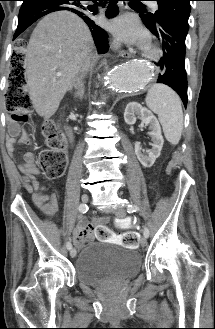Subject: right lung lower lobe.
Returning a JSON list of instances; mask_svg holds the SVG:
<instances>
[{
  "instance_id": "right-lung-lower-lobe-1",
  "label": "right lung lower lobe",
  "mask_w": 215,
  "mask_h": 329,
  "mask_svg": "<svg viewBox=\"0 0 215 329\" xmlns=\"http://www.w3.org/2000/svg\"><path fill=\"white\" fill-rule=\"evenodd\" d=\"M82 1L84 0H23L18 16V26L13 39L42 16L55 11L68 10L80 16L88 25L98 52L100 54L107 52L108 35L105 30L96 24L93 15L90 13L95 14L96 10L90 5L82 4ZM117 2L118 0H109L108 9L105 12L108 18L115 17L118 14ZM12 65L14 73L22 68L16 60L13 61Z\"/></svg>"
}]
</instances>
